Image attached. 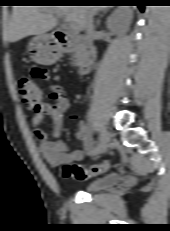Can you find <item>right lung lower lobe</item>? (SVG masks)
<instances>
[{
    "label": "right lung lower lobe",
    "instance_id": "98d812e1",
    "mask_svg": "<svg viewBox=\"0 0 170 231\" xmlns=\"http://www.w3.org/2000/svg\"><path fill=\"white\" fill-rule=\"evenodd\" d=\"M140 9V11H144V6L143 5H137Z\"/></svg>",
    "mask_w": 170,
    "mask_h": 231
}]
</instances>
